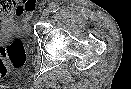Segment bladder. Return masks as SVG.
Wrapping results in <instances>:
<instances>
[{"label": "bladder", "instance_id": "31cf9c89", "mask_svg": "<svg viewBox=\"0 0 131 89\" xmlns=\"http://www.w3.org/2000/svg\"><path fill=\"white\" fill-rule=\"evenodd\" d=\"M6 27H9V28L6 29ZM6 31L19 33L21 31V26L17 23L11 24L9 26H3L2 28H0V36L2 33H5Z\"/></svg>", "mask_w": 131, "mask_h": 89}]
</instances>
